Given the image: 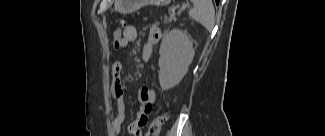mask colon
<instances>
[{
	"label": "colon",
	"instance_id": "1",
	"mask_svg": "<svg viewBox=\"0 0 325 136\" xmlns=\"http://www.w3.org/2000/svg\"><path fill=\"white\" fill-rule=\"evenodd\" d=\"M126 25H120L114 30V44L115 46H119L122 38H123V31ZM166 121V115L161 114L158 115L149 125L147 132L144 136H159L161 128Z\"/></svg>",
	"mask_w": 325,
	"mask_h": 136
}]
</instances>
